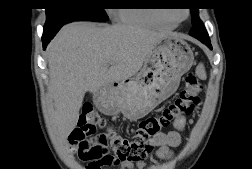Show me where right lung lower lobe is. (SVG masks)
I'll use <instances>...</instances> for the list:
<instances>
[{
	"label": "right lung lower lobe",
	"instance_id": "1",
	"mask_svg": "<svg viewBox=\"0 0 252 169\" xmlns=\"http://www.w3.org/2000/svg\"><path fill=\"white\" fill-rule=\"evenodd\" d=\"M61 27H57L51 30H44L42 36L43 48L45 49L50 40L56 35V33L60 30Z\"/></svg>",
	"mask_w": 252,
	"mask_h": 169
}]
</instances>
